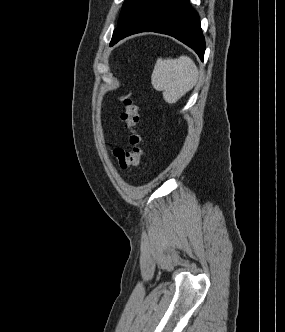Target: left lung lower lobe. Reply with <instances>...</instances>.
Returning a JSON list of instances; mask_svg holds the SVG:
<instances>
[{
	"instance_id": "obj_1",
	"label": "left lung lower lobe",
	"mask_w": 285,
	"mask_h": 332,
	"mask_svg": "<svg viewBox=\"0 0 285 332\" xmlns=\"http://www.w3.org/2000/svg\"><path fill=\"white\" fill-rule=\"evenodd\" d=\"M140 32H157L173 36L191 47L203 60L204 36L198 14L188 0H152L110 43V46L129 35Z\"/></svg>"
}]
</instances>
